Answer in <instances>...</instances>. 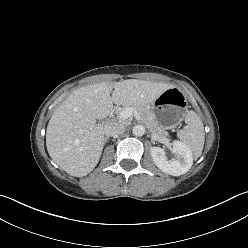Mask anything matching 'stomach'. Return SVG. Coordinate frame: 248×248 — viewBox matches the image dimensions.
I'll return each instance as SVG.
<instances>
[{
	"label": "stomach",
	"mask_w": 248,
	"mask_h": 248,
	"mask_svg": "<svg viewBox=\"0 0 248 248\" xmlns=\"http://www.w3.org/2000/svg\"><path fill=\"white\" fill-rule=\"evenodd\" d=\"M187 100L177 87H171L156 98L150 109V115L163 129H172L185 117Z\"/></svg>",
	"instance_id": "stomach-1"
}]
</instances>
